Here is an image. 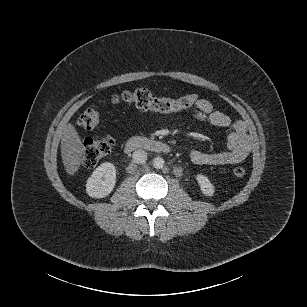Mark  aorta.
Masks as SVG:
<instances>
[{"mask_svg": "<svg viewBox=\"0 0 307 307\" xmlns=\"http://www.w3.org/2000/svg\"><path fill=\"white\" fill-rule=\"evenodd\" d=\"M165 161L162 157H156L153 160V166L156 169H162L164 167Z\"/></svg>", "mask_w": 307, "mask_h": 307, "instance_id": "762f6f07", "label": "aorta"}]
</instances>
